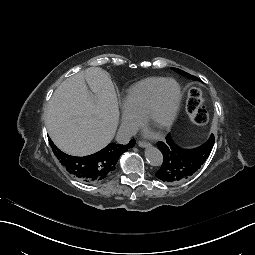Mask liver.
I'll return each mask as SVG.
<instances>
[{"mask_svg":"<svg viewBox=\"0 0 255 255\" xmlns=\"http://www.w3.org/2000/svg\"><path fill=\"white\" fill-rule=\"evenodd\" d=\"M118 119L113 82L103 69L90 67L69 77L55 90L45 125L60 150L85 156L112 141Z\"/></svg>","mask_w":255,"mask_h":255,"instance_id":"1","label":"liver"}]
</instances>
